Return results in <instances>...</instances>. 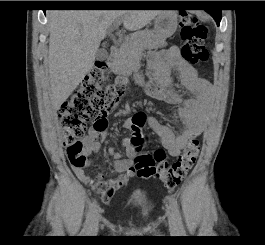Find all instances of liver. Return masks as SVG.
<instances>
[{
  "label": "liver",
  "mask_w": 265,
  "mask_h": 245,
  "mask_svg": "<svg viewBox=\"0 0 265 245\" xmlns=\"http://www.w3.org/2000/svg\"><path fill=\"white\" fill-rule=\"evenodd\" d=\"M161 10H54L49 19L48 71L55 110L94 65L96 52L117 19L130 31L142 29Z\"/></svg>",
  "instance_id": "6515ba94"
}]
</instances>
